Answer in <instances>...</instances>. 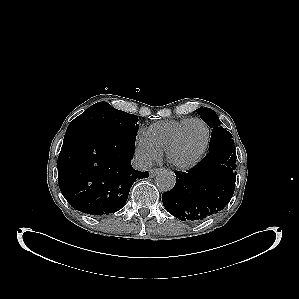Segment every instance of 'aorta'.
I'll list each match as a JSON object with an SVG mask.
<instances>
[{
	"instance_id": "aorta-1",
	"label": "aorta",
	"mask_w": 299,
	"mask_h": 299,
	"mask_svg": "<svg viewBox=\"0 0 299 299\" xmlns=\"http://www.w3.org/2000/svg\"><path fill=\"white\" fill-rule=\"evenodd\" d=\"M158 187L162 191H170L176 183V178L172 172L162 171L156 177Z\"/></svg>"
}]
</instances>
